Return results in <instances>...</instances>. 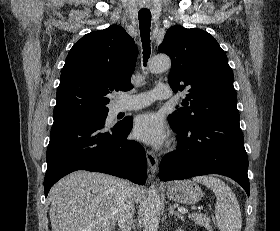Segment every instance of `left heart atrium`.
Returning a JSON list of instances; mask_svg holds the SVG:
<instances>
[{"label": "left heart atrium", "instance_id": "39dd6f15", "mask_svg": "<svg viewBox=\"0 0 280 231\" xmlns=\"http://www.w3.org/2000/svg\"><path fill=\"white\" fill-rule=\"evenodd\" d=\"M132 135L136 140L146 144L160 146L167 141L169 131L159 115L145 113L136 117Z\"/></svg>", "mask_w": 280, "mask_h": 231}]
</instances>
